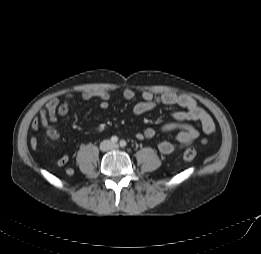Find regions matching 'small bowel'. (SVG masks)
<instances>
[{
	"mask_svg": "<svg viewBox=\"0 0 261 254\" xmlns=\"http://www.w3.org/2000/svg\"><path fill=\"white\" fill-rule=\"evenodd\" d=\"M80 97L84 101L98 98L102 109L109 107L110 94L107 91H84ZM123 97L131 100L135 97V92L131 89H125ZM75 99L76 96L74 94L66 95L62 102L58 98L50 99L45 107L40 110L38 117L32 121V129L38 130L40 127H43L51 140H58L60 134L55 126L57 117L65 116ZM159 106H178L183 109V111L174 113L172 119L160 128L162 132L177 131L174 140H163L158 143L157 148L162 154L170 155L195 143L200 139L201 130L208 135L213 134L216 130L215 123L210 115L199 107L193 98L184 94L144 91L142 93V100L133 106L132 112L138 116ZM191 121L196 122V125H192ZM156 134L157 131L154 128H145L143 131L137 133L136 137L139 140L152 139ZM199 142L201 145H204L206 139H201ZM38 146V138L32 136L30 139L31 149L37 151ZM68 161L69 155L65 153L57 158L54 163L57 166H64ZM66 174L72 175L73 170L68 168Z\"/></svg>",
	"mask_w": 261,
	"mask_h": 254,
	"instance_id": "1",
	"label": "small bowel"
}]
</instances>
